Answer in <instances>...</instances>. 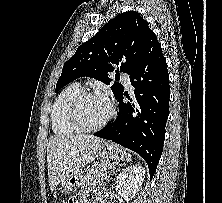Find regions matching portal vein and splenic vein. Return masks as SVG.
Returning <instances> with one entry per match:
<instances>
[{"instance_id":"1","label":"portal vein and splenic vein","mask_w":222,"mask_h":203,"mask_svg":"<svg viewBox=\"0 0 222 203\" xmlns=\"http://www.w3.org/2000/svg\"><path fill=\"white\" fill-rule=\"evenodd\" d=\"M109 166H111V165H107V166H105L104 169L106 170L107 168H109Z\"/></svg>"}]
</instances>
